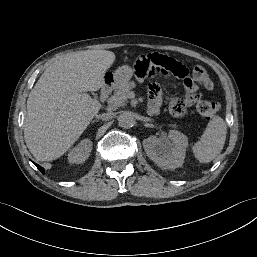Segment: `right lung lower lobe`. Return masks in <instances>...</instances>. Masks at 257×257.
<instances>
[{"label":"right lung lower lobe","instance_id":"98d812e1","mask_svg":"<svg viewBox=\"0 0 257 257\" xmlns=\"http://www.w3.org/2000/svg\"><path fill=\"white\" fill-rule=\"evenodd\" d=\"M36 166H37V168L42 172V173H44V168H42L41 166H39V165H37V164H35Z\"/></svg>","mask_w":257,"mask_h":257}]
</instances>
